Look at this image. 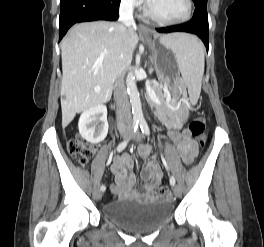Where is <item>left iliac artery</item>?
Segmentation results:
<instances>
[{
    "label": "left iliac artery",
    "mask_w": 264,
    "mask_h": 247,
    "mask_svg": "<svg viewBox=\"0 0 264 247\" xmlns=\"http://www.w3.org/2000/svg\"><path fill=\"white\" fill-rule=\"evenodd\" d=\"M140 128H141L142 133H144L145 135H148V136L150 135V129L148 127L147 122L144 119L140 120ZM165 166L168 169L167 164H165ZM170 184L172 186L175 185V178L173 176L170 177Z\"/></svg>",
    "instance_id": "left-iliac-artery-1"
}]
</instances>
